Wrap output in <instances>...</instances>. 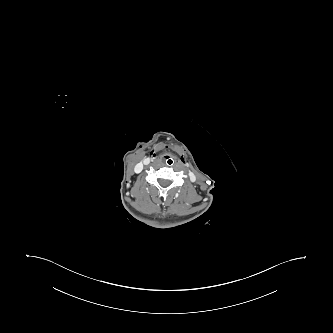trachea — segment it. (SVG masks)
Masks as SVG:
<instances>
[{
	"label": "trachea",
	"mask_w": 333,
	"mask_h": 333,
	"mask_svg": "<svg viewBox=\"0 0 333 333\" xmlns=\"http://www.w3.org/2000/svg\"><path fill=\"white\" fill-rule=\"evenodd\" d=\"M161 163L167 168H172L176 164V159L173 155H164L161 158Z\"/></svg>",
	"instance_id": "trachea-1"
}]
</instances>
